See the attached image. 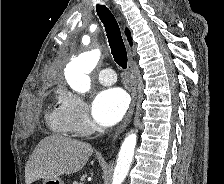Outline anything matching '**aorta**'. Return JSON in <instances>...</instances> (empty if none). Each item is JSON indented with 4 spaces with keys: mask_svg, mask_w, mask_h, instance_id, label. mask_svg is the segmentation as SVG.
Returning a JSON list of instances; mask_svg holds the SVG:
<instances>
[{
    "mask_svg": "<svg viewBox=\"0 0 224 184\" xmlns=\"http://www.w3.org/2000/svg\"><path fill=\"white\" fill-rule=\"evenodd\" d=\"M100 55V50L95 49L80 54L68 63L65 78L73 90L85 93L90 89L91 80L88 74L96 67ZM136 142V133H131L124 139L114 169L112 184H122L126 178L133 160Z\"/></svg>",
    "mask_w": 224,
    "mask_h": 184,
    "instance_id": "1",
    "label": "aorta"
}]
</instances>
